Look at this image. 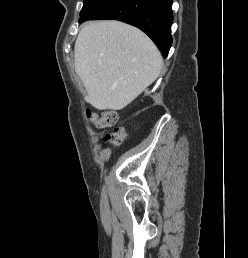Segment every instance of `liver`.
<instances>
[{
  "mask_svg": "<svg viewBox=\"0 0 248 258\" xmlns=\"http://www.w3.org/2000/svg\"><path fill=\"white\" fill-rule=\"evenodd\" d=\"M75 71L87 101L98 110H121L159 76L162 57L139 29L119 21L87 23L74 47Z\"/></svg>",
  "mask_w": 248,
  "mask_h": 258,
  "instance_id": "obj_1",
  "label": "liver"
}]
</instances>
